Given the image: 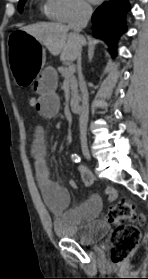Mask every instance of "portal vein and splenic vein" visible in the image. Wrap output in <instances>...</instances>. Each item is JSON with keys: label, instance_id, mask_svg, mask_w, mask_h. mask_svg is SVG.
<instances>
[{"label": "portal vein and splenic vein", "instance_id": "18ae733b", "mask_svg": "<svg viewBox=\"0 0 148 279\" xmlns=\"http://www.w3.org/2000/svg\"><path fill=\"white\" fill-rule=\"evenodd\" d=\"M68 71H69V73H73L75 71V67L74 66H70Z\"/></svg>", "mask_w": 148, "mask_h": 279}]
</instances>
